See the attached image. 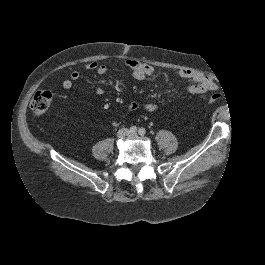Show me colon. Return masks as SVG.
<instances>
[{"label":"colon","mask_w":265,"mask_h":265,"mask_svg":"<svg viewBox=\"0 0 265 265\" xmlns=\"http://www.w3.org/2000/svg\"><path fill=\"white\" fill-rule=\"evenodd\" d=\"M222 98V94L221 93H213L210 98L209 101L210 102H216L218 100H220ZM51 100H52V95L49 91H38L35 93V95L33 96L32 100H31V109L37 113V114H41L46 112L50 105H51Z\"/></svg>","instance_id":"5ec220e1"}]
</instances>
